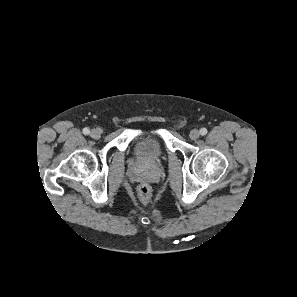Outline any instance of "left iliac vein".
<instances>
[{
  "instance_id": "obj_1",
  "label": "left iliac vein",
  "mask_w": 297,
  "mask_h": 297,
  "mask_svg": "<svg viewBox=\"0 0 297 297\" xmlns=\"http://www.w3.org/2000/svg\"><path fill=\"white\" fill-rule=\"evenodd\" d=\"M199 135H200V133H199V131H198L197 129H193V130H191L190 133H189V137H190L192 140H196V139H198V138H199Z\"/></svg>"
}]
</instances>
